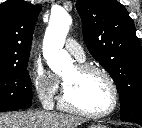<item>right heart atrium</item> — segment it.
<instances>
[{"label": "right heart atrium", "mask_w": 142, "mask_h": 128, "mask_svg": "<svg viewBox=\"0 0 142 128\" xmlns=\"http://www.w3.org/2000/svg\"><path fill=\"white\" fill-rule=\"evenodd\" d=\"M32 81L38 98L44 103H52L59 90V81L40 62L32 69Z\"/></svg>", "instance_id": "obj_1"}]
</instances>
